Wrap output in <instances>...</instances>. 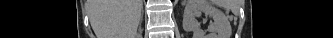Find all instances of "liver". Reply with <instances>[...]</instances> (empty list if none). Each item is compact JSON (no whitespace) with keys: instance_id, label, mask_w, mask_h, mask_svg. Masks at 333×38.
Wrapping results in <instances>:
<instances>
[{"instance_id":"6515ba94","label":"liver","mask_w":333,"mask_h":38,"mask_svg":"<svg viewBox=\"0 0 333 38\" xmlns=\"http://www.w3.org/2000/svg\"><path fill=\"white\" fill-rule=\"evenodd\" d=\"M142 0H90L88 14L97 38H135Z\"/></svg>"}]
</instances>
